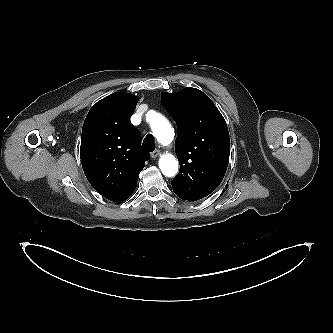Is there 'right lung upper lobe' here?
<instances>
[{
  "instance_id": "cb5924a9",
  "label": "right lung upper lobe",
  "mask_w": 333,
  "mask_h": 333,
  "mask_svg": "<svg viewBox=\"0 0 333 333\" xmlns=\"http://www.w3.org/2000/svg\"><path fill=\"white\" fill-rule=\"evenodd\" d=\"M139 98L115 92L98 101L83 124L80 157L90 184L105 198L122 202L134 192L149 154L130 122Z\"/></svg>"
}]
</instances>
